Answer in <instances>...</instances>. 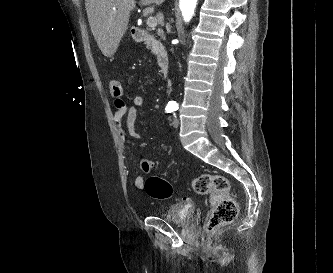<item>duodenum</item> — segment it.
Segmentation results:
<instances>
[{"instance_id":"duodenum-1","label":"duodenum","mask_w":333,"mask_h":273,"mask_svg":"<svg viewBox=\"0 0 333 273\" xmlns=\"http://www.w3.org/2000/svg\"><path fill=\"white\" fill-rule=\"evenodd\" d=\"M131 31L136 41L147 42L154 46L157 55L158 65L160 67L162 75L166 76L170 67V59L167 51L164 49L161 42L159 41L158 35L140 27H133Z\"/></svg>"}]
</instances>
